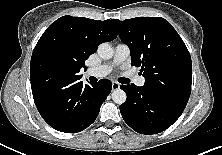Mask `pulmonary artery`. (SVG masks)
Listing matches in <instances>:
<instances>
[{"instance_id":"obj_1","label":"pulmonary artery","mask_w":222,"mask_h":155,"mask_svg":"<svg viewBox=\"0 0 222 155\" xmlns=\"http://www.w3.org/2000/svg\"><path fill=\"white\" fill-rule=\"evenodd\" d=\"M130 56V48L127 44L119 43L115 47L114 57L111 62L99 66L90 67L86 70L87 76L102 78L107 76L115 66L125 62ZM134 83L138 86H144L145 79L140 76L134 77Z\"/></svg>"}]
</instances>
